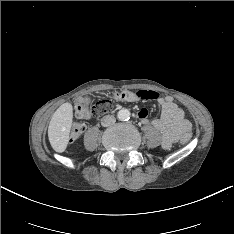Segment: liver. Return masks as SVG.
Wrapping results in <instances>:
<instances>
[{
  "label": "liver",
  "mask_w": 234,
  "mask_h": 234,
  "mask_svg": "<svg viewBox=\"0 0 234 234\" xmlns=\"http://www.w3.org/2000/svg\"><path fill=\"white\" fill-rule=\"evenodd\" d=\"M73 120V109L70 102L63 103L53 114L49 127L48 138L56 152L65 151L69 142V134Z\"/></svg>",
  "instance_id": "1"
}]
</instances>
